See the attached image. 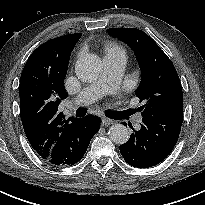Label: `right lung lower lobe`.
<instances>
[{
  "label": "right lung lower lobe",
  "instance_id": "obj_1",
  "mask_svg": "<svg viewBox=\"0 0 205 205\" xmlns=\"http://www.w3.org/2000/svg\"><path fill=\"white\" fill-rule=\"evenodd\" d=\"M99 126L100 120L92 116L68 124L44 160L55 166L74 165L83 157Z\"/></svg>",
  "mask_w": 205,
  "mask_h": 205
}]
</instances>
